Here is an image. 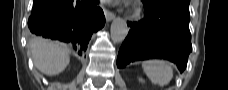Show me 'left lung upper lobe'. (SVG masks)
Segmentation results:
<instances>
[{
  "label": "left lung upper lobe",
  "instance_id": "5c2ea615",
  "mask_svg": "<svg viewBox=\"0 0 228 90\" xmlns=\"http://www.w3.org/2000/svg\"><path fill=\"white\" fill-rule=\"evenodd\" d=\"M159 3L166 4L172 10L189 11V0H154Z\"/></svg>",
  "mask_w": 228,
  "mask_h": 90
}]
</instances>
